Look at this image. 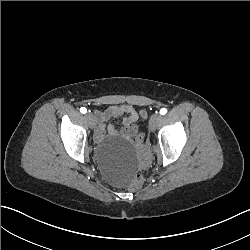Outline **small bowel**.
<instances>
[{"instance_id": "c3829d8e", "label": "small bowel", "mask_w": 250, "mask_h": 250, "mask_svg": "<svg viewBox=\"0 0 250 250\" xmlns=\"http://www.w3.org/2000/svg\"><path fill=\"white\" fill-rule=\"evenodd\" d=\"M123 114H125L126 117L122 121L121 128L107 124L109 118ZM98 118L100 123L94 135L97 141L102 140L106 133L113 136L121 135L127 139L136 137L138 134V126L135 123L137 119V110L132 105L110 106L103 113H99Z\"/></svg>"}]
</instances>
